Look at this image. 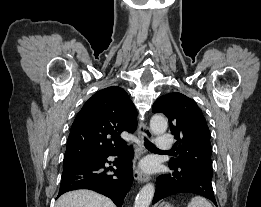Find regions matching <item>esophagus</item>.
<instances>
[{"label": "esophagus", "mask_w": 261, "mask_h": 207, "mask_svg": "<svg viewBox=\"0 0 261 207\" xmlns=\"http://www.w3.org/2000/svg\"><path fill=\"white\" fill-rule=\"evenodd\" d=\"M138 132H139V136L141 139H143V138L152 139L153 138V134H152L151 130L144 122L139 123ZM133 175H134V179L138 182H147L149 180V177L146 174H144L143 172H141L137 166L134 167Z\"/></svg>", "instance_id": "1"}]
</instances>
